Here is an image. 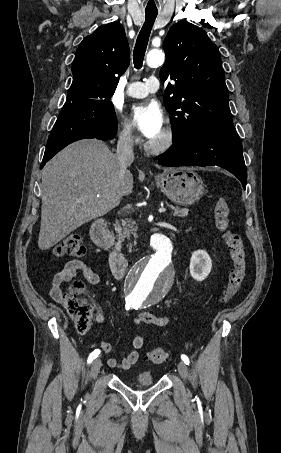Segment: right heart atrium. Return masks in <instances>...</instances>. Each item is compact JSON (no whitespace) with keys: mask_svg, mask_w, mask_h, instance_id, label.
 I'll use <instances>...</instances> for the list:
<instances>
[{"mask_svg":"<svg viewBox=\"0 0 281 453\" xmlns=\"http://www.w3.org/2000/svg\"><path fill=\"white\" fill-rule=\"evenodd\" d=\"M116 128L119 141L123 145L130 146L134 144L137 138V132L135 127L129 121L127 120L118 121V123L116 124ZM110 169L113 172H117L120 169V165L115 161H112Z\"/></svg>","mask_w":281,"mask_h":453,"instance_id":"1","label":"right heart atrium"}]
</instances>
